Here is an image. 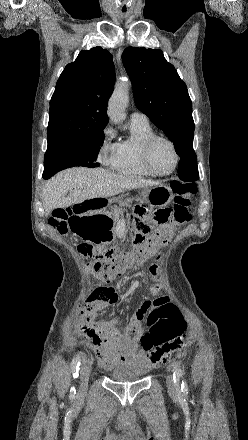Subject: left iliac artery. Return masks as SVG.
Wrapping results in <instances>:
<instances>
[{"mask_svg": "<svg viewBox=\"0 0 248 440\" xmlns=\"http://www.w3.org/2000/svg\"><path fill=\"white\" fill-rule=\"evenodd\" d=\"M173 371V380L177 384V386L179 385L180 380L183 379L181 383V391L183 395L186 396L188 394V385L186 380L184 379V370L181 368L180 365L176 364Z\"/></svg>", "mask_w": 248, "mask_h": 440, "instance_id": "44dca946", "label": "left iliac artery"}]
</instances>
